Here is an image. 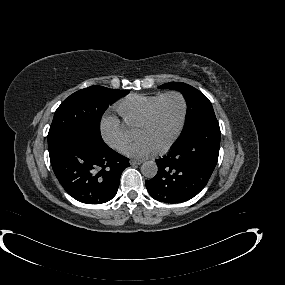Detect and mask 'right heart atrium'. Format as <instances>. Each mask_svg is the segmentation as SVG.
I'll return each mask as SVG.
<instances>
[{
  "label": "right heart atrium",
  "mask_w": 285,
  "mask_h": 285,
  "mask_svg": "<svg viewBox=\"0 0 285 285\" xmlns=\"http://www.w3.org/2000/svg\"><path fill=\"white\" fill-rule=\"evenodd\" d=\"M100 133L103 140L116 150H122L129 142L126 129L118 118L111 115L103 117L100 124Z\"/></svg>",
  "instance_id": "1"
}]
</instances>
